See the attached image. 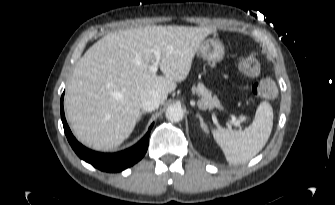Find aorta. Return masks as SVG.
<instances>
[{
    "mask_svg": "<svg viewBox=\"0 0 335 205\" xmlns=\"http://www.w3.org/2000/svg\"><path fill=\"white\" fill-rule=\"evenodd\" d=\"M184 117V111L179 105H170L166 110V118L171 122H179Z\"/></svg>",
    "mask_w": 335,
    "mask_h": 205,
    "instance_id": "762f6f07",
    "label": "aorta"
}]
</instances>
